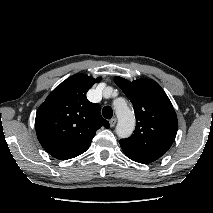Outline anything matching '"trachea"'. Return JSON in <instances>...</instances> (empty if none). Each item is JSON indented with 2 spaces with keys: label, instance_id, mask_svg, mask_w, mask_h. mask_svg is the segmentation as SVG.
Returning <instances> with one entry per match:
<instances>
[{
  "label": "trachea",
  "instance_id": "trachea-1",
  "mask_svg": "<svg viewBox=\"0 0 213 213\" xmlns=\"http://www.w3.org/2000/svg\"><path fill=\"white\" fill-rule=\"evenodd\" d=\"M102 115L106 119H111L112 116H113V110H112V108L110 106H105L102 109Z\"/></svg>",
  "mask_w": 213,
  "mask_h": 213
}]
</instances>
